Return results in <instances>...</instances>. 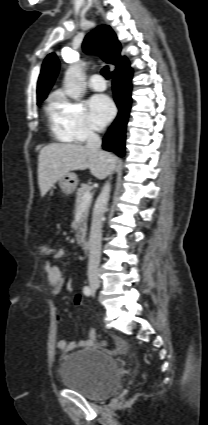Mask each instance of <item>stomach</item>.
I'll return each instance as SVG.
<instances>
[{
  "instance_id": "stomach-1",
  "label": "stomach",
  "mask_w": 208,
  "mask_h": 425,
  "mask_svg": "<svg viewBox=\"0 0 208 425\" xmlns=\"http://www.w3.org/2000/svg\"><path fill=\"white\" fill-rule=\"evenodd\" d=\"M78 184V177L75 173H67L59 179V186L63 193L71 194Z\"/></svg>"
}]
</instances>
